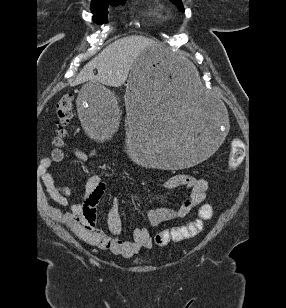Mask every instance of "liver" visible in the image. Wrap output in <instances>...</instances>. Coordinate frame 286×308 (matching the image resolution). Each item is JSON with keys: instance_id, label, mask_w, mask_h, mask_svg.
Instances as JSON below:
<instances>
[{"instance_id": "6515ba94", "label": "liver", "mask_w": 286, "mask_h": 308, "mask_svg": "<svg viewBox=\"0 0 286 308\" xmlns=\"http://www.w3.org/2000/svg\"><path fill=\"white\" fill-rule=\"evenodd\" d=\"M148 47H157L163 54L185 66H190L182 53L173 56L153 39L144 36H128L114 41L103 49L84 66L72 84L78 85L93 80L103 85L119 87L127 80L135 60ZM95 68L98 71L97 75L93 72Z\"/></svg>"}]
</instances>
